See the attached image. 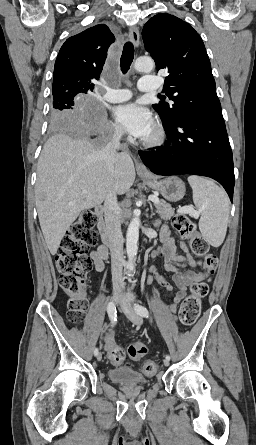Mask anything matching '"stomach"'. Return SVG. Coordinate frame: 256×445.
<instances>
[{"instance_id": "0dacf381", "label": "stomach", "mask_w": 256, "mask_h": 445, "mask_svg": "<svg viewBox=\"0 0 256 445\" xmlns=\"http://www.w3.org/2000/svg\"><path fill=\"white\" fill-rule=\"evenodd\" d=\"M143 180L150 188L159 192L166 200L170 202H177L181 200L186 192L184 182L176 176H171L163 180L143 177Z\"/></svg>"}]
</instances>
